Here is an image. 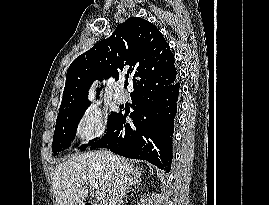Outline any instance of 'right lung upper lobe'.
I'll list each match as a JSON object with an SVG mask.
<instances>
[{
    "instance_id": "1",
    "label": "right lung upper lobe",
    "mask_w": 269,
    "mask_h": 205,
    "mask_svg": "<svg viewBox=\"0 0 269 205\" xmlns=\"http://www.w3.org/2000/svg\"><path fill=\"white\" fill-rule=\"evenodd\" d=\"M174 55L161 32L147 20L130 17L112 35L69 66L58 118L88 108L87 92L96 79L133 76L130 96L177 81ZM97 93V97L98 98Z\"/></svg>"
}]
</instances>
